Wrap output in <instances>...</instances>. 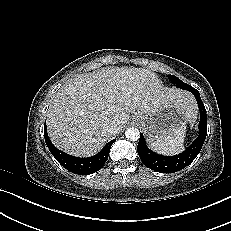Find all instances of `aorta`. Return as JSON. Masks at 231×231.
I'll list each match as a JSON object with an SVG mask.
<instances>
[{
  "instance_id": "aorta-1",
  "label": "aorta",
  "mask_w": 231,
  "mask_h": 231,
  "mask_svg": "<svg viewBox=\"0 0 231 231\" xmlns=\"http://www.w3.org/2000/svg\"><path fill=\"white\" fill-rule=\"evenodd\" d=\"M125 136H126L127 140L137 141L140 137V132L137 128L130 127L125 131Z\"/></svg>"
}]
</instances>
